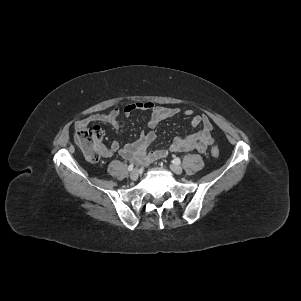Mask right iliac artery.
<instances>
[{
	"instance_id": "obj_1",
	"label": "right iliac artery",
	"mask_w": 301,
	"mask_h": 301,
	"mask_svg": "<svg viewBox=\"0 0 301 301\" xmlns=\"http://www.w3.org/2000/svg\"><path fill=\"white\" fill-rule=\"evenodd\" d=\"M133 168H134V164H133V163H131V164L129 165V167H128V171H132V170H133Z\"/></svg>"
}]
</instances>
